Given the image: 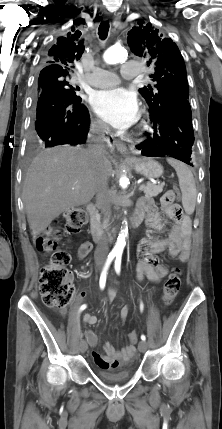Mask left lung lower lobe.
Masks as SVG:
<instances>
[{
  "instance_id": "0a47b994",
  "label": "left lung lower lobe",
  "mask_w": 222,
  "mask_h": 429,
  "mask_svg": "<svg viewBox=\"0 0 222 429\" xmlns=\"http://www.w3.org/2000/svg\"><path fill=\"white\" fill-rule=\"evenodd\" d=\"M150 121L153 123V133H146L147 140L136 146L142 155L172 157L193 166L191 152L194 132L189 100H167L157 112L150 111Z\"/></svg>"
}]
</instances>
